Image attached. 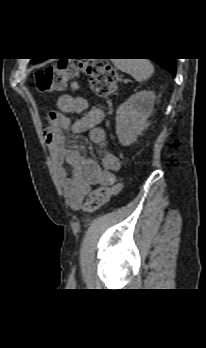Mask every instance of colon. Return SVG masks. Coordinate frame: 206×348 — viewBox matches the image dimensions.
I'll return each mask as SVG.
<instances>
[{
    "label": "colon",
    "mask_w": 206,
    "mask_h": 348,
    "mask_svg": "<svg viewBox=\"0 0 206 348\" xmlns=\"http://www.w3.org/2000/svg\"><path fill=\"white\" fill-rule=\"evenodd\" d=\"M85 73L89 77L90 87L95 94L106 98L116 88L118 75L106 60L101 58L60 59L55 64L39 69L35 73L34 87L38 93H51L61 89L66 82ZM121 188V184L99 186L88 196L84 209L92 213L109 202Z\"/></svg>",
    "instance_id": "colon-1"
}]
</instances>
